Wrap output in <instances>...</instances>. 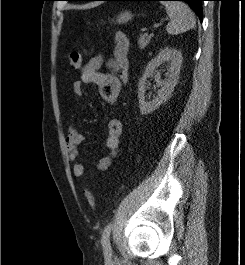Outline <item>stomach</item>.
Returning <instances> with one entry per match:
<instances>
[{
  "mask_svg": "<svg viewBox=\"0 0 245 265\" xmlns=\"http://www.w3.org/2000/svg\"><path fill=\"white\" fill-rule=\"evenodd\" d=\"M132 17L133 15L130 11H124L117 16L116 22L119 24L127 23L132 19Z\"/></svg>",
  "mask_w": 245,
  "mask_h": 265,
  "instance_id": "stomach-1",
  "label": "stomach"
}]
</instances>
